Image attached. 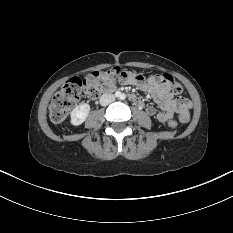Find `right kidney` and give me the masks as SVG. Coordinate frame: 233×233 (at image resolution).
I'll return each mask as SVG.
<instances>
[{
    "instance_id": "ca27d5eb",
    "label": "right kidney",
    "mask_w": 233,
    "mask_h": 233,
    "mask_svg": "<svg viewBox=\"0 0 233 233\" xmlns=\"http://www.w3.org/2000/svg\"><path fill=\"white\" fill-rule=\"evenodd\" d=\"M90 105L82 103L76 106L71 112V124L74 126L81 125L88 117Z\"/></svg>"
}]
</instances>
